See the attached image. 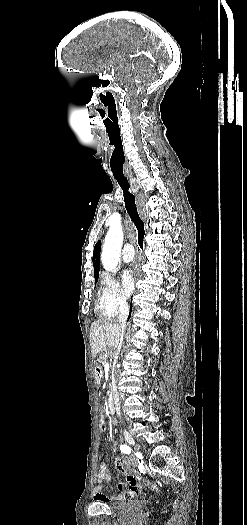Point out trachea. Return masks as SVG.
<instances>
[{
    "label": "trachea",
    "instance_id": "1",
    "mask_svg": "<svg viewBox=\"0 0 247 525\" xmlns=\"http://www.w3.org/2000/svg\"><path fill=\"white\" fill-rule=\"evenodd\" d=\"M118 183L123 191L125 208L128 212L129 217L131 218L132 222L137 228L138 244L140 248L143 250L144 236H145L144 223L140 219V216H139V213L136 207L135 197L133 193L129 191L130 184L128 183V181H124V182L118 181Z\"/></svg>",
    "mask_w": 247,
    "mask_h": 525
}]
</instances>
